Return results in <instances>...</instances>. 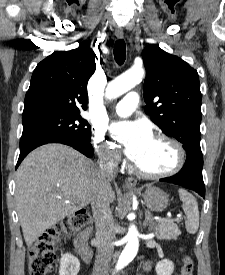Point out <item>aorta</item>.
I'll return each mask as SVG.
<instances>
[{
	"label": "aorta",
	"instance_id": "1",
	"mask_svg": "<svg viewBox=\"0 0 225 275\" xmlns=\"http://www.w3.org/2000/svg\"><path fill=\"white\" fill-rule=\"evenodd\" d=\"M144 69L131 68L122 75L118 76L110 82L106 88V98L109 100L115 99L127 91L131 90L135 85L142 81L144 77ZM129 218H134V214H129ZM127 244L122 251L116 270H121L128 265L136 256L139 248L138 230L134 224H131L126 235Z\"/></svg>",
	"mask_w": 225,
	"mask_h": 275
}]
</instances>
